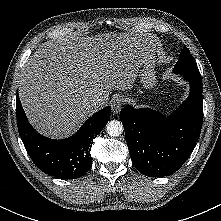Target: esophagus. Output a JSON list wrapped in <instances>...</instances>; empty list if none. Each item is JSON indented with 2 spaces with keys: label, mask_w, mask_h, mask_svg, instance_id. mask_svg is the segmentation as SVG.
Wrapping results in <instances>:
<instances>
[{
  "label": "esophagus",
  "mask_w": 221,
  "mask_h": 221,
  "mask_svg": "<svg viewBox=\"0 0 221 221\" xmlns=\"http://www.w3.org/2000/svg\"><path fill=\"white\" fill-rule=\"evenodd\" d=\"M123 98L121 96H115L111 100V110L114 114H118L121 111L123 105Z\"/></svg>",
  "instance_id": "34e87169"
}]
</instances>
